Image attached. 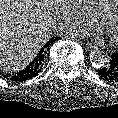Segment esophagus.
Here are the masks:
<instances>
[{
  "instance_id": "obj_1",
  "label": "esophagus",
  "mask_w": 118,
  "mask_h": 118,
  "mask_svg": "<svg viewBox=\"0 0 118 118\" xmlns=\"http://www.w3.org/2000/svg\"><path fill=\"white\" fill-rule=\"evenodd\" d=\"M81 44L83 45V47L87 50H91L94 48V46L91 43L88 42H81Z\"/></svg>"
}]
</instances>
